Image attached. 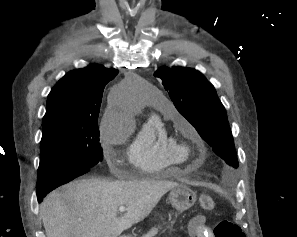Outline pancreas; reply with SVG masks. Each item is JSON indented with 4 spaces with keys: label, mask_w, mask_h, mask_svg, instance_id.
I'll return each mask as SVG.
<instances>
[{
    "label": "pancreas",
    "mask_w": 297,
    "mask_h": 237,
    "mask_svg": "<svg viewBox=\"0 0 297 237\" xmlns=\"http://www.w3.org/2000/svg\"><path fill=\"white\" fill-rule=\"evenodd\" d=\"M159 229H160L159 227H153L149 232L144 234L142 237H154L158 233Z\"/></svg>",
    "instance_id": "1"
}]
</instances>
